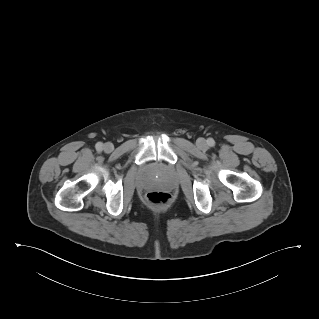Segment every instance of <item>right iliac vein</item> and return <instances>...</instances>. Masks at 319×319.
Listing matches in <instances>:
<instances>
[{"mask_svg": "<svg viewBox=\"0 0 319 319\" xmlns=\"http://www.w3.org/2000/svg\"><path fill=\"white\" fill-rule=\"evenodd\" d=\"M114 146L112 143L107 142L104 144L103 149L105 152H111L113 150Z\"/></svg>", "mask_w": 319, "mask_h": 319, "instance_id": "right-iliac-vein-1", "label": "right iliac vein"}]
</instances>
